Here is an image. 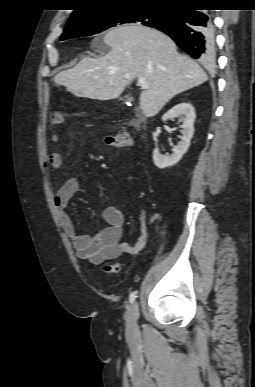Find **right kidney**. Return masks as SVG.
<instances>
[{"mask_svg":"<svg viewBox=\"0 0 255 387\" xmlns=\"http://www.w3.org/2000/svg\"><path fill=\"white\" fill-rule=\"evenodd\" d=\"M178 116L180 117L179 121L183 123V131L181 141L173 148V153L171 155H162L158 149L153 151L154 164L160 169L178 163L190 146V140L194 133V107L190 103L177 104L163 115L162 120L167 121Z\"/></svg>","mask_w":255,"mask_h":387,"instance_id":"ca27d5eb","label":"right kidney"}]
</instances>
